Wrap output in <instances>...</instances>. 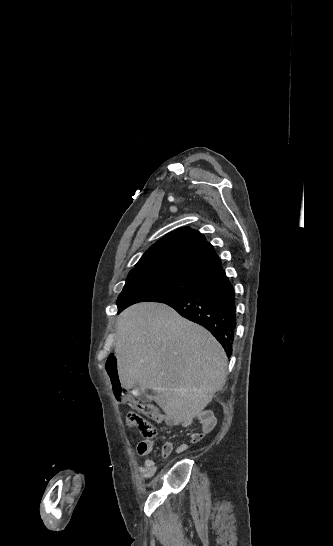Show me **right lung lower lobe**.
Returning a JSON list of instances; mask_svg holds the SVG:
<instances>
[{"label": "right lung lower lobe", "mask_w": 333, "mask_h": 546, "mask_svg": "<svg viewBox=\"0 0 333 546\" xmlns=\"http://www.w3.org/2000/svg\"><path fill=\"white\" fill-rule=\"evenodd\" d=\"M162 302L209 330L230 357L236 330L235 292L221 266L191 291Z\"/></svg>", "instance_id": "obj_1"}]
</instances>
